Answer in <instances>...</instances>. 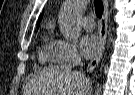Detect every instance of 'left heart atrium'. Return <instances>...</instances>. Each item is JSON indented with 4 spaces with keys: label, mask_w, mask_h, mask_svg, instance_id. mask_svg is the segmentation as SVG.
Masks as SVG:
<instances>
[{
    "label": "left heart atrium",
    "mask_w": 135,
    "mask_h": 95,
    "mask_svg": "<svg viewBox=\"0 0 135 95\" xmlns=\"http://www.w3.org/2000/svg\"><path fill=\"white\" fill-rule=\"evenodd\" d=\"M80 49L82 54L90 58L96 55L100 49V40L94 34L83 35L80 39Z\"/></svg>",
    "instance_id": "39dd6f15"
}]
</instances>
